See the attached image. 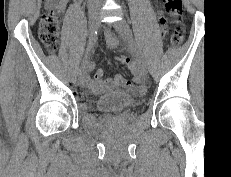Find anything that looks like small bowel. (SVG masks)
<instances>
[{
    "instance_id": "small-bowel-1",
    "label": "small bowel",
    "mask_w": 231,
    "mask_h": 177,
    "mask_svg": "<svg viewBox=\"0 0 231 177\" xmlns=\"http://www.w3.org/2000/svg\"><path fill=\"white\" fill-rule=\"evenodd\" d=\"M67 1L68 0H57L56 9L59 12L64 11ZM108 43L111 47H113L116 45L117 40L111 36H108ZM128 66L134 73H136V67L134 64L130 63ZM88 86L90 91L95 94L116 88H125L130 91L135 90L134 85L130 81H127L123 76L118 74L112 78H106L102 70H98L95 73L94 77L89 81ZM139 90H142V88Z\"/></svg>"
}]
</instances>
